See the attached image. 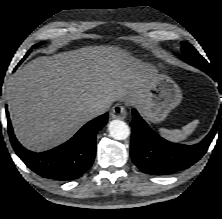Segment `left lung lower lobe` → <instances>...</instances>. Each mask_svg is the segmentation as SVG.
I'll return each mask as SVG.
<instances>
[{"label":"left lung lower lobe","instance_id":"0a47b994","mask_svg":"<svg viewBox=\"0 0 222 219\" xmlns=\"http://www.w3.org/2000/svg\"><path fill=\"white\" fill-rule=\"evenodd\" d=\"M210 75L215 81L212 68L196 65ZM222 93V89L220 88ZM131 157L134 164L144 173L151 175H168L186 169L196 163L207 151L217 129L222 127V109L210 133L196 145H182L169 142L156 134L133 109Z\"/></svg>","mask_w":222,"mask_h":219}]
</instances>
